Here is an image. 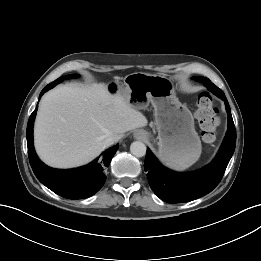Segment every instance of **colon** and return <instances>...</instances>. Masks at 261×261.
Here are the masks:
<instances>
[{
	"label": "colon",
	"instance_id": "5ec220e1",
	"mask_svg": "<svg viewBox=\"0 0 261 261\" xmlns=\"http://www.w3.org/2000/svg\"><path fill=\"white\" fill-rule=\"evenodd\" d=\"M195 117L203 140L207 143L213 142L216 139L219 117L213 100L207 93L198 96Z\"/></svg>",
	"mask_w": 261,
	"mask_h": 261
}]
</instances>
